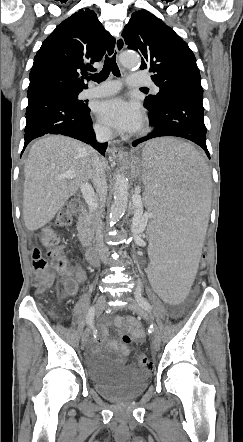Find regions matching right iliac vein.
<instances>
[{
    "mask_svg": "<svg viewBox=\"0 0 243 442\" xmlns=\"http://www.w3.org/2000/svg\"><path fill=\"white\" fill-rule=\"evenodd\" d=\"M106 303V295L105 294H101L98 299L97 302L95 304V315L98 316L101 312V310L103 309L104 305ZM93 327V321L91 323H89V325L86 327V329L84 330L83 334H82V345H85L88 340L89 337L91 335V330Z\"/></svg>",
    "mask_w": 243,
    "mask_h": 442,
    "instance_id": "obj_1",
    "label": "right iliac vein"
}]
</instances>
